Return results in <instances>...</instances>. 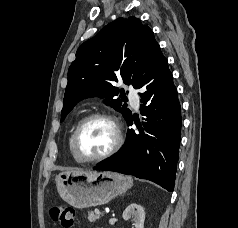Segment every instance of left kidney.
Returning a JSON list of instances; mask_svg holds the SVG:
<instances>
[{
  "instance_id": "1",
  "label": "left kidney",
  "mask_w": 238,
  "mask_h": 228,
  "mask_svg": "<svg viewBox=\"0 0 238 228\" xmlns=\"http://www.w3.org/2000/svg\"><path fill=\"white\" fill-rule=\"evenodd\" d=\"M124 220H131L135 228H144L145 212L141 205L130 204L123 212Z\"/></svg>"
}]
</instances>
